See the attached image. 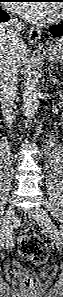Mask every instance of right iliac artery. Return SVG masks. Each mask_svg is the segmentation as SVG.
Segmentation results:
<instances>
[{"instance_id":"1","label":"right iliac artery","mask_w":63,"mask_h":297,"mask_svg":"<svg viewBox=\"0 0 63 297\" xmlns=\"http://www.w3.org/2000/svg\"><path fill=\"white\" fill-rule=\"evenodd\" d=\"M13 233V227H7L5 230H1L2 237L5 235L6 237H10Z\"/></svg>"}]
</instances>
